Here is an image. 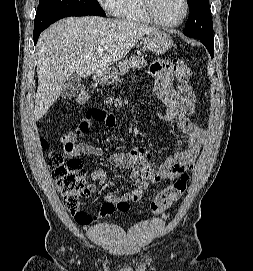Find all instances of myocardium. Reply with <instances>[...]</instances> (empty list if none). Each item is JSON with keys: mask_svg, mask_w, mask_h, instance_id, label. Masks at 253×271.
<instances>
[{"mask_svg": "<svg viewBox=\"0 0 253 271\" xmlns=\"http://www.w3.org/2000/svg\"><path fill=\"white\" fill-rule=\"evenodd\" d=\"M184 2V13L182 15V17L180 18V20H178L177 22L174 23H168V22H164L162 21L158 15L155 12L154 9V0H143L144 3V9L146 11V13L148 14V16L150 17V19L165 28H175L180 26L188 17L189 15V11H190V5H189V0H183Z\"/></svg>", "mask_w": 253, "mask_h": 271, "instance_id": "myocardium-1", "label": "myocardium"}]
</instances>
